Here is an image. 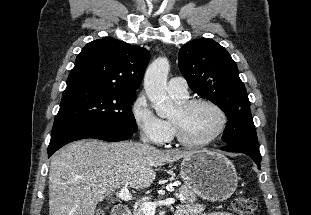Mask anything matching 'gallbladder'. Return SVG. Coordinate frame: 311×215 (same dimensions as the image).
<instances>
[{"label":"gallbladder","instance_id":"gallbladder-1","mask_svg":"<svg viewBox=\"0 0 311 215\" xmlns=\"http://www.w3.org/2000/svg\"><path fill=\"white\" fill-rule=\"evenodd\" d=\"M95 215H104V211L102 209H97Z\"/></svg>","mask_w":311,"mask_h":215}]
</instances>
